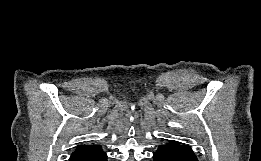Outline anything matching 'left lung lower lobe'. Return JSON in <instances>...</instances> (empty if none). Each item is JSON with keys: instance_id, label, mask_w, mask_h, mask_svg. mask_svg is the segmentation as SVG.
I'll return each mask as SVG.
<instances>
[{"instance_id": "obj_1", "label": "left lung lower lobe", "mask_w": 261, "mask_h": 161, "mask_svg": "<svg viewBox=\"0 0 261 161\" xmlns=\"http://www.w3.org/2000/svg\"><path fill=\"white\" fill-rule=\"evenodd\" d=\"M154 161H198L188 145L170 142L160 145L153 155Z\"/></svg>"}]
</instances>
